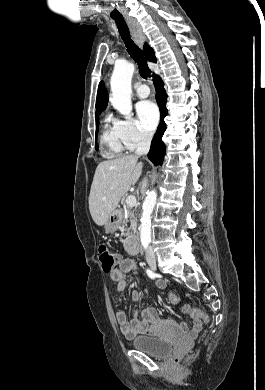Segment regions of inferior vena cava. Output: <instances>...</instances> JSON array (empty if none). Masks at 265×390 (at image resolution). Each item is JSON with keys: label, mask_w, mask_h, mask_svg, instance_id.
I'll return each mask as SVG.
<instances>
[{"label": "inferior vena cava", "mask_w": 265, "mask_h": 390, "mask_svg": "<svg viewBox=\"0 0 265 390\" xmlns=\"http://www.w3.org/2000/svg\"><path fill=\"white\" fill-rule=\"evenodd\" d=\"M151 140H152V134L147 133V132H142L140 134V138H139V141L137 143V148H136V155L137 156L145 155L148 153V151L150 149ZM143 186H145V184H143ZM146 255L147 256L154 255V251H153V248L151 246H149V248L147 249Z\"/></svg>", "instance_id": "inferior-vena-cava-1"}]
</instances>
